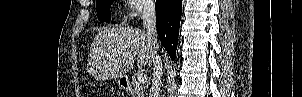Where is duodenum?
<instances>
[{"instance_id": "duodenum-1", "label": "duodenum", "mask_w": 302, "mask_h": 97, "mask_svg": "<svg viewBox=\"0 0 302 97\" xmlns=\"http://www.w3.org/2000/svg\"><path fill=\"white\" fill-rule=\"evenodd\" d=\"M121 85L123 86V88L126 91H128V92L132 91V86H131L130 82L127 79L123 78L121 80Z\"/></svg>"}]
</instances>
